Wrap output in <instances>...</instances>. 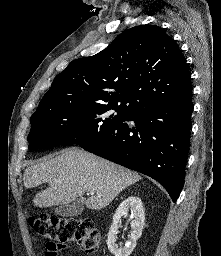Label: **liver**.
<instances>
[{
	"label": "liver",
	"instance_id": "obj_1",
	"mask_svg": "<svg viewBox=\"0 0 221 256\" xmlns=\"http://www.w3.org/2000/svg\"><path fill=\"white\" fill-rule=\"evenodd\" d=\"M140 179L137 173L78 148L45 158L29 166L23 175L27 189L43 183L49 185L35 195L34 206L66 205L85 192L94 191L96 194L84 202L92 210L107 207L123 189Z\"/></svg>",
	"mask_w": 221,
	"mask_h": 256
}]
</instances>
